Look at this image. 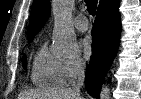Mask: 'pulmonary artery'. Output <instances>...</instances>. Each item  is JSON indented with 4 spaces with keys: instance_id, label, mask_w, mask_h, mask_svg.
<instances>
[{
    "instance_id": "obj_1",
    "label": "pulmonary artery",
    "mask_w": 141,
    "mask_h": 99,
    "mask_svg": "<svg viewBox=\"0 0 141 99\" xmlns=\"http://www.w3.org/2000/svg\"><path fill=\"white\" fill-rule=\"evenodd\" d=\"M73 25L79 31H86L89 28L88 20L84 15H79L73 20Z\"/></svg>"
}]
</instances>
